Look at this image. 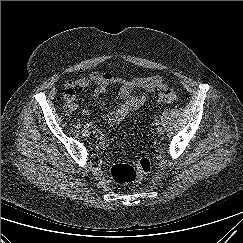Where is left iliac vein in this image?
I'll use <instances>...</instances> for the list:
<instances>
[{
  "label": "left iliac vein",
  "instance_id": "obj_1",
  "mask_svg": "<svg viewBox=\"0 0 243 243\" xmlns=\"http://www.w3.org/2000/svg\"><path fill=\"white\" fill-rule=\"evenodd\" d=\"M156 132H157L158 135H163L165 131H164V128H163V127H160V126H159V127L157 128Z\"/></svg>",
  "mask_w": 243,
  "mask_h": 243
}]
</instances>
